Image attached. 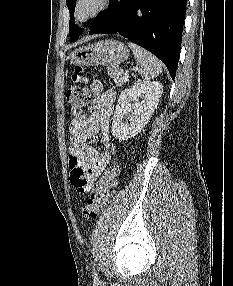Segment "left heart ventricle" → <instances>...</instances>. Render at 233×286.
<instances>
[{
    "instance_id": "1",
    "label": "left heart ventricle",
    "mask_w": 233,
    "mask_h": 286,
    "mask_svg": "<svg viewBox=\"0 0 233 286\" xmlns=\"http://www.w3.org/2000/svg\"><path fill=\"white\" fill-rule=\"evenodd\" d=\"M97 6V0H86L80 7L79 14L84 17L90 14Z\"/></svg>"
}]
</instances>
